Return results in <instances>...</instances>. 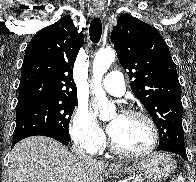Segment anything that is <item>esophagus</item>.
Returning a JSON list of instances; mask_svg holds the SVG:
<instances>
[{
	"instance_id": "obj_1",
	"label": "esophagus",
	"mask_w": 196,
	"mask_h": 182,
	"mask_svg": "<svg viewBox=\"0 0 196 182\" xmlns=\"http://www.w3.org/2000/svg\"><path fill=\"white\" fill-rule=\"evenodd\" d=\"M102 14V9L100 7H94L93 8V15L98 17V16H101Z\"/></svg>"
}]
</instances>
